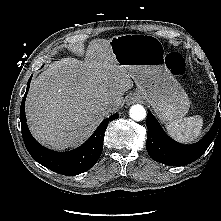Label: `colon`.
Masks as SVG:
<instances>
[{
    "mask_svg": "<svg viewBox=\"0 0 221 221\" xmlns=\"http://www.w3.org/2000/svg\"><path fill=\"white\" fill-rule=\"evenodd\" d=\"M167 67L173 75L180 77L182 80L188 78L187 62L181 54L177 52L169 53L167 56Z\"/></svg>",
    "mask_w": 221,
    "mask_h": 221,
    "instance_id": "1",
    "label": "colon"
}]
</instances>
